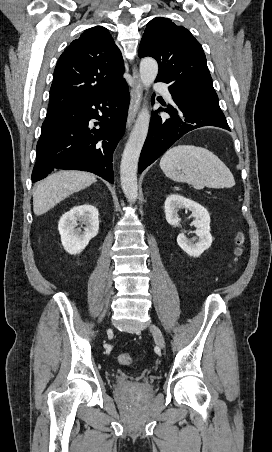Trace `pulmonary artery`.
Segmentation results:
<instances>
[{
  "mask_svg": "<svg viewBox=\"0 0 272 452\" xmlns=\"http://www.w3.org/2000/svg\"><path fill=\"white\" fill-rule=\"evenodd\" d=\"M153 89L155 91H159L164 93L167 97H169V91L167 90L166 84L164 82H156L153 85Z\"/></svg>",
  "mask_w": 272,
  "mask_h": 452,
  "instance_id": "obj_1",
  "label": "pulmonary artery"
}]
</instances>
